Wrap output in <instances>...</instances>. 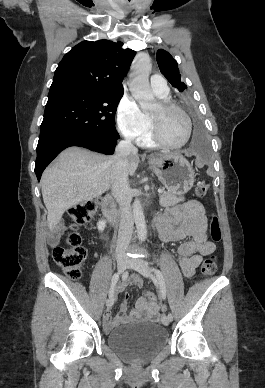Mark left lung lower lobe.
I'll use <instances>...</instances> for the list:
<instances>
[{
	"instance_id": "1",
	"label": "left lung lower lobe",
	"mask_w": 265,
	"mask_h": 388,
	"mask_svg": "<svg viewBox=\"0 0 265 388\" xmlns=\"http://www.w3.org/2000/svg\"><path fill=\"white\" fill-rule=\"evenodd\" d=\"M190 149L192 152L204 156L208 152V143L201 124L197 121L194 134L191 140Z\"/></svg>"
}]
</instances>
